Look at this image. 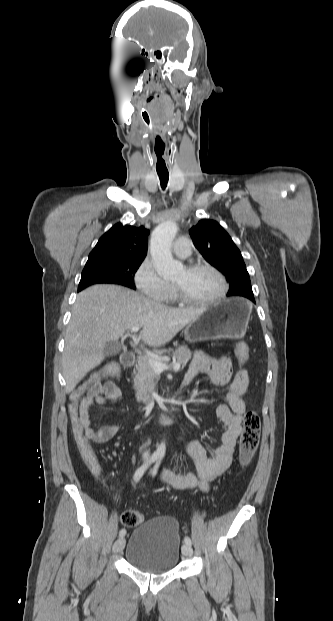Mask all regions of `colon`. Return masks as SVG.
Returning a JSON list of instances; mask_svg holds the SVG:
<instances>
[{
	"instance_id": "1",
	"label": "colon",
	"mask_w": 333,
	"mask_h": 621,
	"mask_svg": "<svg viewBox=\"0 0 333 621\" xmlns=\"http://www.w3.org/2000/svg\"><path fill=\"white\" fill-rule=\"evenodd\" d=\"M248 356V345L245 342H239L236 347V357L239 364H245L248 360ZM119 374V365L116 363H108L99 372L93 375L89 382H101L104 378L116 377ZM69 416L77 451L89 472L94 477L98 478L101 474V467L85 437L75 399L69 406ZM260 433L261 422L258 414L255 411H248L244 417L243 431L239 441V459L242 466H247L252 461L259 445ZM144 520L145 515L136 510L124 511L120 517L121 523L126 527L137 526L144 522Z\"/></svg>"
}]
</instances>
